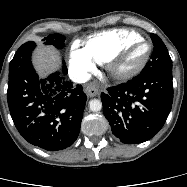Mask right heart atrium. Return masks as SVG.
Segmentation results:
<instances>
[{"label":"right heart atrium","mask_w":187,"mask_h":187,"mask_svg":"<svg viewBox=\"0 0 187 187\" xmlns=\"http://www.w3.org/2000/svg\"><path fill=\"white\" fill-rule=\"evenodd\" d=\"M69 61L73 72L79 78H86L95 70L94 59L78 42L71 45Z\"/></svg>","instance_id":"1"}]
</instances>
